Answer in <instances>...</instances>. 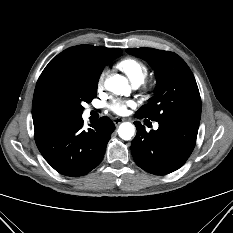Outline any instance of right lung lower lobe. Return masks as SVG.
<instances>
[{"instance_id": "obj_1", "label": "right lung lower lobe", "mask_w": 233, "mask_h": 233, "mask_svg": "<svg viewBox=\"0 0 233 233\" xmlns=\"http://www.w3.org/2000/svg\"><path fill=\"white\" fill-rule=\"evenodd\" d=\"M82 127V117H68L35 132L40 153L60 174L78 177L98 166L115 129L106 116L86 131Z\"/></svg>"}]
</instances>
